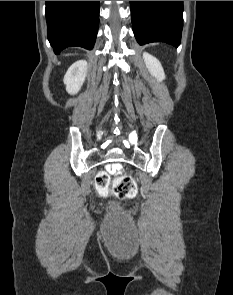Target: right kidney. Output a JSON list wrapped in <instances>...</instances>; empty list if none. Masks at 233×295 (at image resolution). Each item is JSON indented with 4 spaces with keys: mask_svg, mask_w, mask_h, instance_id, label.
Wrapping results in <instances>:
<instances>
[{
    "mask_svg": "<svg viewBox=\"0 0 233 295\" xmlns=\"http://www.w3.org/2000/svg\"><path fill=\"white\" fill-rule=\"evenodd\" d=\"M86 74V60H79L69 67L63 80L69 94H76L79 92L84 83Z\"/></svg>",
    "mask_w": 233,
    "mask_h": 295,
    "instance_id": "obj_1",
    "label": "right kidney"
}]
</instances>
